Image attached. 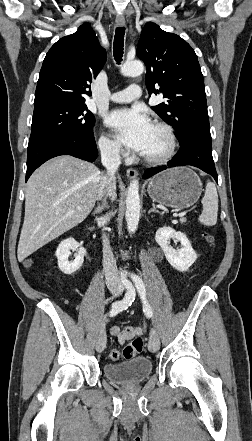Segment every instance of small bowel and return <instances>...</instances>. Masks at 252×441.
Segmentation results:
<instances>
[{"label":"small bowel","instance_id":"obj_1","mask_svg":"<svg viewBox=\"0 0 252 441\" xmlns=\"http://www.w3.org/2000/svg\"><path fill=\"white\" fill-rule=\"evenodd\" d=\"M141 333L142 330L139 327L133 326H113L110 328V334L115 337L120 344H124L126 341L141 335Z\"/></svg>","mask_w":252,"mask_h":441}]
</instances>
